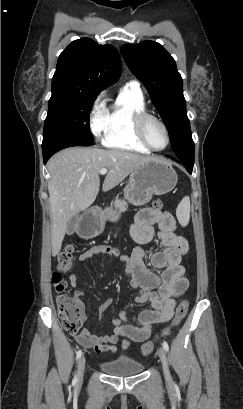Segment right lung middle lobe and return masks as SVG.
Listing matches in <instances>:
<instances>
[{
	"mask_svg": "<svg viewBox=\"0 0 243 409\" xmlns=\"http://www.w3.org/2000/svg\"><path fill=\"white\" fill-rule=\"evenodd\" d=\"M96 96L71 91L62 86H52L43 144L61 137L94 143L89 116Z\"/></svg>",
	"mask_w": 243,
	"mask_h": 409,
	"instance_id": "obj_1",
	"label": "right lung middle lobe"
}]
</instances>
